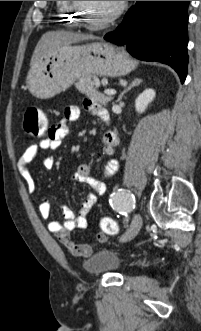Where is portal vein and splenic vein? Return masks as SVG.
Here are the masks:
<instances>
[{
    "instance_id": "portal-vein-and-splenic-vein-1",
    "label": "portal vein and splenic vein",
    "mask_w": 201,
    "mask_h": 331,
    "mask_svg": "<svg viewBox=\"0 0 201 331\" xmlns=\"http://www.w3.org/2000/svg\"><path fill=\"white\" fill-rule=\"evenodd\" d=\"M104 93L108 96H112V95L116 94V91L113 89H106V90H104Z\"/></svg>"
}]
</instances>
